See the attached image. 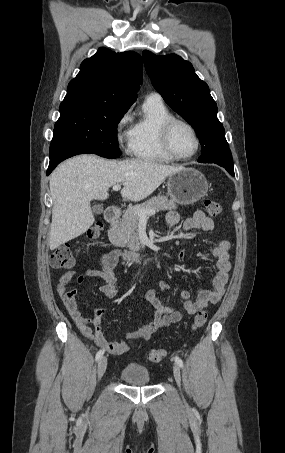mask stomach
Here are the masks:
<instances>
[{
	"mask_svg": "<svg viewBox=\"0 0 285 453\" xmlns=\"http://www.w3.org/2000/svg\"><path fill=\"white\" fill-rule=\"evenodd\" d=\"M167 190L172 200L181 205H189L207 195L208 182L200 171L182 167L168 176Z\"/></svg>",
	"mask_w": 285,
	"mask_h": 453,
	"instance_id": "stomach-1",
	"label": "stomach"
}]
</instances>
